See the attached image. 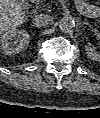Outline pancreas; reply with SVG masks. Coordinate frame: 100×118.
<instances>
[{
	"mask_svg": "<svg viewBox=\"0 0 100 118\" xmlns=\"http://www.w3.org/2000/svg\"><path fill=\"white\" fill-rule=\"evenodd\" d=\"M45 0H37V3L40 4L42 2H44ZM48 7V6H47Z\"/></svg>",
	"mask_w": 100,
	"mask_h": 118,
	"instance_id": "pancreas-1",
	"label": "pancreas"
}]
</instances>
